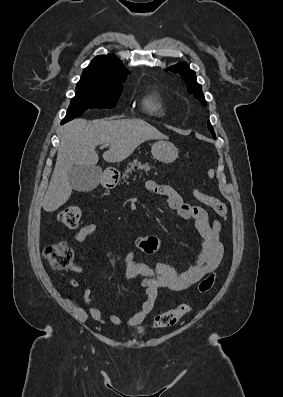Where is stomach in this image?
Segmentation results:
<instances>
[{"label":"stomach","instance_id":"obj_1","mask_svg":"<svg viewBox=\"0 0 283 397\" xmlns=\"http://www.w3.org/2000/svg\"><path fill=\"white\" fill-rule=\"evenodd\" d=\"M151 153L153 157L162 163H171L178 157V150L172 142L167 140H159L152 145ZM104 185H112L115 183L113 172L107 169L100 175Z\"/></svg>","mask_w":283,"mask_h":397}]
</instances>
